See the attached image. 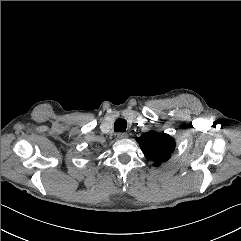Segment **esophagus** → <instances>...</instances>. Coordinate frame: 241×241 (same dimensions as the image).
Returning <instances> with one entry per match:
<instances>
[{"label":"esophagus","instance_id":"obj_1","mask_svg":"<svg viewBox=\"0 0 241 241\" xmlns=\"http://www.w3.org/2000/svg\"><path fill=\"white\" fill-rule=\"evenodd\" d=\"M127 137V133L126 132H119L117 134V138L118 139H123V138H126Z\"/></svg>","mask_w":241,"mask_h":241}]
</instances>
